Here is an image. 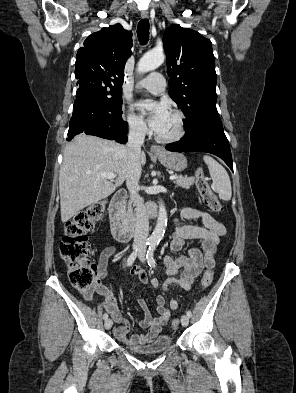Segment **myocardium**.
<instances>
[{
  "label": "myocardium",
  "instance_id": "obj_1",
  "mask_svg": "<svg viewBox=\"0 0 296 393\" xmlns=\"http://www.w3.org/2000/svg\"><path fill=\"white\" fill-rule=\"evenodd\" d=\"M170 113L177 118V122H178L177 130L173 135L168 136V137H162L156 133L155 139L160 143L177 142V141L181 140L186 133V122H185L184 114L179 110H172Z\"/></svg>",
  "mask_w": 296,
  "mask_h": 393
}]
</instances>
